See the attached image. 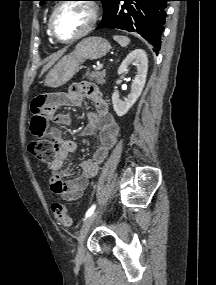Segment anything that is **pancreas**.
I'll return each mask as SVG.
<instances>
[{
	"label": "pancreas",
	"mask_w": 216,
	"mask_h": 285,
	"mask_svg": "<svg viewBox=\"0 0 216 285\" xmlns=\"http://www.w3.org/2000/svg\"><path fill=\"white\" fill-rule=\"evenodd\" d=\"M105 76H106V70L92 71L91 73L87 71L86 74L83 76V78L87 77L90 81H94L97 84H104Z\"/></svg>",
	"instance_id": "1"
}]
</instances>
